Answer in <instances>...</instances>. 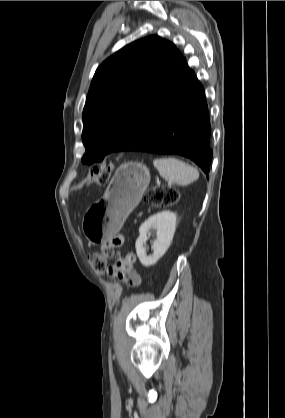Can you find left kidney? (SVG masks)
<instances>
[{"mask_svg": "<svg viewBox=\"0 0 285 418\" xmlns=\"http://www.w3.org/2000/svg\"><path fill=\"white\" fill-rule=\"evenodd\" d=\"M176 215L170 211L158 212L145 220L139 228V237L135 247L143 266L154 265L168 250L176 229ZM151 230H156V240L152 245L153 253L147 255L146 242Z\"/></svg>", "mask_w": 285, "mask_h": 418, "instance_id": "5707ae66", "label": "left kidney"}]
</instances>
